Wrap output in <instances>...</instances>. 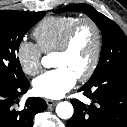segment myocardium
Segmentation results:
<instances>
[{
	"mask_svg": "<svg viewBox=\"0 0 127 127\" xmlns=\"http://www.w3.org/2000/svg\"><path fill=\"white\" fill-rule=\"evenodd\" d=\"M84 25H89L93 29L94 35H95V46H94V52H93V55H92V58H91V61H90V64L87 70L77 77L78 80L80 81L88 80L93 75V73L95 72L99 64L100 55L102 51V32H101L99 25L91 18L79 19L67 31L61 43L54 51L55 54L67 53L78 30Z\"/></svg>",
	"mask_w": 127,
	"mask_h": 127,
	"instance_id": "f54148a6",
	"label": "myocardium"
}]
</instances>
